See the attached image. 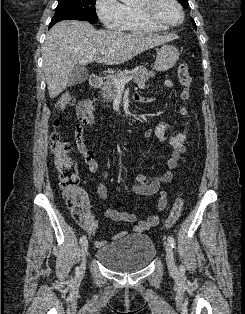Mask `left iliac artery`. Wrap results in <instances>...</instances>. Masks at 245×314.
I'll list each match as a JSON object with an SVG mask.
<instances>
[{
  "label": "left iliac artery",
  "mask_w": 245,
  "mask_h": 314,
  "mask_svg": "<svg viewBox=\"0 0 245 314\" xmlns=\"http://www.w3.org/2000/svg\"><path fill=\"white\" fill-rule=\"evenodd\" d=\"M168 241H169V243L171 244V246H172L173 248H175L176 242H175V239H174L172 236H169V237H168Z\"/></svg>",
  "instance_id": "obj_1"
}]
</instances>
